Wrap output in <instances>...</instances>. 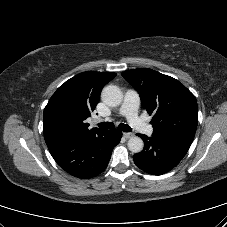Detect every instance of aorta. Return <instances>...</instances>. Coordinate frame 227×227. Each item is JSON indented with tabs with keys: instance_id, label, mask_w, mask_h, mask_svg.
Listing matches in <instances>:
<instances>
[{
	"instance_id": "1",
	"label": "aorta",
	"mask_w": 227,
	"mask_h": 227,
	"mask_svg": "<svg viewBox=\"0 0 227 227\" xmlns=\"http://www.w3.org/2000/svg\"><path fill=\"white\" fill-rule=\"evenodd\" d=\"M102 101L110 106L116 107L119 106L123 100V94L119 87L115 85H108L103 88L101 93ZM144 142L138 137L134 136L128 140V148L133 153H139L143 150Z\"/></svg>"
}]
</instances>
